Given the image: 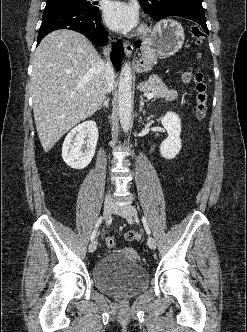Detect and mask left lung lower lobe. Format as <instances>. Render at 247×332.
Instances as JSON below:
<instances>
[{"label": "left lung lower lobe", "mask_w": 247, "mask_h": 332, "mask_svg": "<svg viewBox=\"0 0 247 332\" xmlns=\"http://www.w3.org/2000/svg\"><path fill=\"white\" fill-rule=\"evenodd\" d=\"M169 16H178V17H182V18L194 21L201 26V28L205 31L206 34H209L208 28L206 25L205 12L202 10L175 9V10H172V11L166 13L163 18H166ZM136 46H138V45L136 44Z\"/></svg>", "instance_id": "1"}]
</instances>
